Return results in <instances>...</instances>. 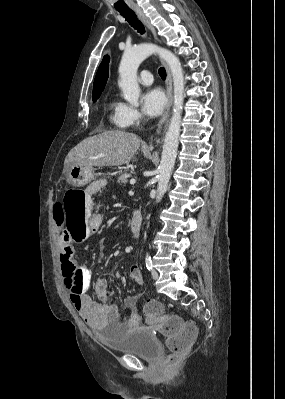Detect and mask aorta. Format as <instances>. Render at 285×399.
I'll return each mask as SVG.
<instances>
[{"mask_svg":"<svg viewBox=\"0 0 285 399\" xmlns=\"http://www.w3.org/2000/svg\"><path fill=\"white\" fill-rule=\"evenodd\" d=\"M155 53L159 54L169 66L174 86L173 114L165 135L159 166L156 195V200L159 202L168 188L179 144L181 115L184 102V75L181 63L171 51L158 47L155 44L142 43L124 51L119 66L118 85L123 92L124 99L130 105L138 106L140 88L137 82V69L147 57Z\"/></svg>","mask_w":285,"mask_h":399,"instance_id":"1","label":"aorta"}]
</instances>
